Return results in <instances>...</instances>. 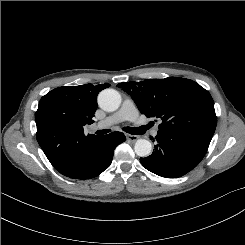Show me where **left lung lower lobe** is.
I'll use <instances>...</instances> for the list:
<instances>
[{
	"mask_svg": "<svg viewBox=\"0 0 245 245\" xmlns=\"http://www.w3.org/2000/svg\"><path fill=\"white\" fill-rule=\"evenodd\" d=\"M155 139L154 152L140 162L159 176L177 178L198 165L212 138L189 131L158 130Z\"/></svg>",
	"mask_w": 245,
	"mask_h": 245,
	"instance_id": "obj_1",
	"label": "left lung lower lobe"
}]
</instances>
